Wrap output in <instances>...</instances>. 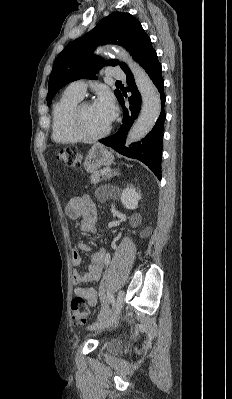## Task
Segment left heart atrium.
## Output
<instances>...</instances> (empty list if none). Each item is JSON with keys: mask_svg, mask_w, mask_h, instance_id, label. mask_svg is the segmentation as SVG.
<instances>
[{"mask_svg": "<svg viewBox=\"0 0 232 399\" xmlns=\"http://www.w3.org/2000/svg\"><path fill=\"white\" fill-rule=\"evenodd\" d=\"M94 107L109 125L115 120L117 109L111 96L102 97Z\"/></svg>", "mask_w": 232, "mask_h": 399, "instance_id": "obj_1", "label": "left heart atrium"}]
</instances>
